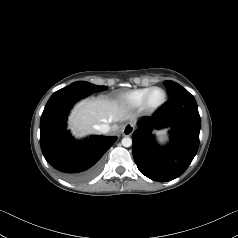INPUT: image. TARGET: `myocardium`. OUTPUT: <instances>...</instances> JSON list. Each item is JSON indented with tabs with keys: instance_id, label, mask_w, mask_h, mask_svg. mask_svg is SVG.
I'll use <instances>...</instances> for the list:
<instances>
[{
	"instance_id": "obj_1",
	"label": "myocardium",
	"mask_w": 238,
	"mask_h": 238,
	"mask_svg": "<svg viewBox=\"0 0 238 238\" xmlns=\"http://www.w3.org/2000/svg\"><path fill=\"white\" fill-rule=\"evenodd\" d=\"M156 90H160L163 93V99L159 104L152 105L150 102V98H151V95L153 94V92ZM166 101H167L166 91L161 87L155 86V87H152L146 94L143 104H142V107L148 113H155L165 105Z\"/></svg>"
}]
</instances>
